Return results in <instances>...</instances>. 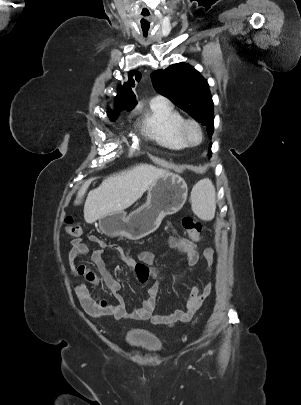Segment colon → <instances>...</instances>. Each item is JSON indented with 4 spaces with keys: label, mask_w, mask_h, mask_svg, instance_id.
Wrapping results in <instances>:
<instances>
[{
    "label": "colon",
    "mask_w": 301,
    "mask_h": 405,
    "mask_svg": "<svg viewBox=\"0 0 301 405\" xmlns=\"http://www.w3.org/2000/svg\"><path fill=\"white\" fill-rule=\"evenodd\" d=\"M66 232L74 237H80L83 233L81 226L74 220L73 217L68 216L65 219ZM182 226L187 231L190 241L193 243H200V232L202 230V224L191 217H184L182 219ZM85 309L94 315L102 314L107 304L105 301L98 298L96 294H90L83 302Z\"/></svg>",
    "instance_id": "obj_1"
}]
</instances>
